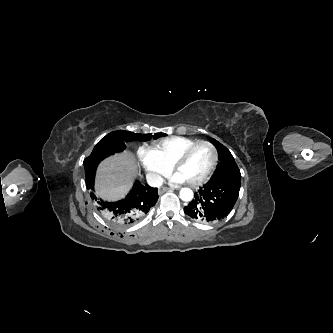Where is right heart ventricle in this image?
<instances>
[{
    "label": "right heart ventricle",
    "mask_w": 333,
    "mask_h": 333,
    "mask_svg": "<svg viewBox=\"0 0 333 333\" xmlns=\"http://www.w3.org/2000/svg\"><path fill=\"white\" fill-rule=\"evenodd\" d=\"M197 141V139L189 137L171 136L153 143L152 149L159 159L170 168L178 155Z\"/></svg>",
    "instance_id": "right-heart-ventricle-1"
}]
</instances>
